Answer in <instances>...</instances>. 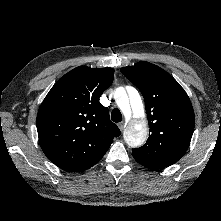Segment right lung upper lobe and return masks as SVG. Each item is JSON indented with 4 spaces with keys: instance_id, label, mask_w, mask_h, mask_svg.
Instances as JSON below:
<instances>
[{
    "instance_id": "1",
    "label": "right lung upper lobe",
    "mask_w": 221,
    "mask_h": 221,
    "mask_svg": "<svg viewBox=\"0 0 221 221\" xmlns=\"http://www.w3.org/2000/svg\"><path fill=\"white\" fill-rule=\"evenodd\" d=\"M113 79L112 68L80 66L61 77L43 100L37 114L38 137L44 154L59 168L89 169L121 134L99 102Z\"/></svg>"
}]
</instances>
